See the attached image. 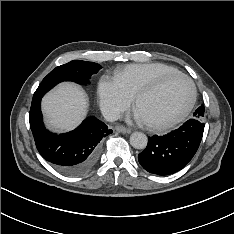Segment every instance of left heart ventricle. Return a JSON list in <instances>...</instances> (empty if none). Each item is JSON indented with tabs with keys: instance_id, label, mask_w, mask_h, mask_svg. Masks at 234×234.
Masks as SVG:
<instances>
[{
	"instance_id": "1",
	"label": "left heart ventricle",
	"mask_w": 234,
	"mask_h": 234,
	"mask_svg": "<svg viewBox=\"0 0 234 234\" xmlns=\"http://www.w3.org/2000/svg\"><path fill=\"white\" fill-rule=\"evenodd\" d=\"M191 98L189 83L179 77L164 83L155 92L143 97L137 106L145 122L158 123L179 115Z\"/></svg>"
}]
</instances>
